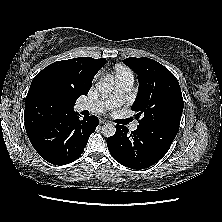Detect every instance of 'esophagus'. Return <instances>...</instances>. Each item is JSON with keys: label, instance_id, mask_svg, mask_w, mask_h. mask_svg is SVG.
I'll list each match as a JSON object with an SVG mask.
<instances>
[{"label": "esophagus", "instance_id": "1", "mask_svg": "<svg viewBox=\"0 0 222 222\" xmlns=\"http://www.w3.org/2000/svg\"><path fill=\"white\" fill-rule=\"evenodd\" d=\"M105 123H107V121L106 120H100V124H105Z\"/></svg>", "mask_w": 222, "mask_h": 222}]
</instances>
